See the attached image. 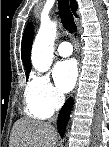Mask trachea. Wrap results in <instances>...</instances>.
<instances>
[{
  "label": "trachea",
  "instance_id": "3493384b",
  "mask_svg": "<svg viewBox=\"0 0 109 147\" xmlns=\"http://www.w3.org/2000/svg\"><path fill=\"white\" fill-rule=\"evenodd\" d=\"M58 9L61 17V22L63 27L70 33L75 34L77 31V26L74 22L72 12L69 6V0H58Z\"/></svg>",
  "mask_w": 109,
  "mask_h": 147
}]
</instances>
